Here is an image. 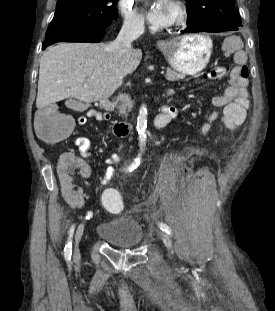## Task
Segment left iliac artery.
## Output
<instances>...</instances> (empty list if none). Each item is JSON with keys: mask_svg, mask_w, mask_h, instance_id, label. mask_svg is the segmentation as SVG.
Returning a JSON list of instances; mask_svg holds the SVG:
<instances>
[{"mask_svg": "<svg viewBox=\"0 0 275 311\" xmlns=\"http://www.w3.org/2000/svg\"><path fill=\"white\" fill-rule=\"evenodd\" d=\"M158 227L162 230V231H165L167 234L171 235L172 234V231L170 229V227L165 224V223H158Z\"/></svg>", "mask_w": 275, "mask_h": 311, "instance_id": "44dca946", "label": "left iliac artery"}]
</instances>
